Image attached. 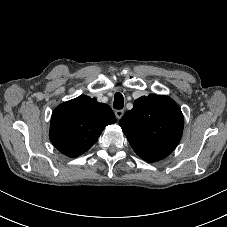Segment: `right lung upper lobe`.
Segmentation results:
<instances>
[{"mask_svg": "<svg viewBox=\"0 0 227 227\" xmlns=\"http://www.w3.org/2000/svg\"><path fill=\"white\" fill-rule=\"evenodd\" d=\"M115 121L109 105L82 95L54 110L50 140L61 153L75 158L91 148L104 128Z\"/></svg>", "mask_w": 227, "mask_h": 227, "instance_id": "obj_1", "label": "right lung upper lobe"}]
</instances>
